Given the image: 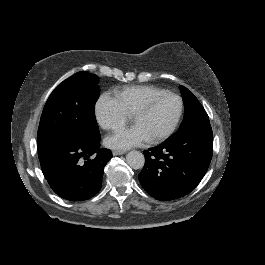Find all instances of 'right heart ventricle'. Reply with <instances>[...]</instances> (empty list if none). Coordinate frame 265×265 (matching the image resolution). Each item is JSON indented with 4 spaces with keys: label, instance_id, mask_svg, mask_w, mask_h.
<instances>
[{
    "label": "right heart ventricle",
    "instance_id": "obj_1",
    "mask_svg": "<svg viewBox=\"0 0 265 265\" xmlns=\"http://www.w3.org/2000/svg\"><path fill=\"white\" fill-rule=\"evenodd\" d=\"M160 90L151 85L128 86L116 93L126 115H134L139 105L152 93Z\"/></svg>",
    "mask_w": 265,
    "mask_h": 265
}]
</instances>
